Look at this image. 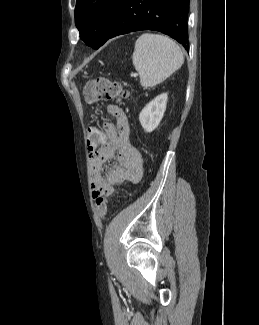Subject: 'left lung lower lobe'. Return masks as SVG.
Returning a JSON list of instances; mask_svg holds the SVG:
<instances>
[{"instance_id": "obj_1", "label": "left lung lower lobe", "mask_w": 259, "mask_h": 325, "mask_svg": "<svg viewBox=\"0 0 259 325\" xmlns=\"http://www.w3.org/2000/svg\"><path fill=\"white\" fill-rule=\"evenodd\" d=\"M188 14L189 0H122L105 42L129 32L156 30L188 50Z\"/></svg>"}]
</instances>
